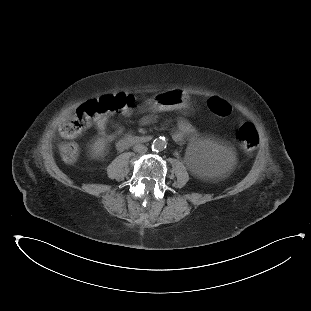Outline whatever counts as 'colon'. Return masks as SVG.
I'll list each match as a JSON object with an SVG mask.
<instances>
[{"instance_id":"5ec220e1","label":"colon","mask_w":311,"mask_h":311,"mask_svg":"<svg viewBox=\"0 0 311 311\" xmlns=\"http://www.w3.org/2000/svg\"><path fill=\"white\" fill-rule=\"evenodd\" d=\"M136 99L133 96H125L122 92H115L111 95H104L87 103L82 110H75L68 115L66 120L58 125V132L62 136L77 137L89 129L95 118L99 119L108 115H116L120 112H131L134 109ZM205 106L213 108L217 114L223 118L239 119L242 111L239 108L228 106L222 103L216 95H211L205 99ZM238 137L245 149L256 148L260 133L256 126L251 123L244 124ZM59 153L62 160L67 164H73L78 160L80 148L77 143L65 141L59 145Z\"/></svg>"}]
</instances>
